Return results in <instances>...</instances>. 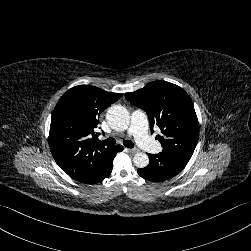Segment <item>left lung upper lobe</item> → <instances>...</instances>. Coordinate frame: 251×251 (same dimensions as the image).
I'll use <instances>...</instances> for the list:
<instances>
[{
    "mask_svg": "<svg viewBox=\"0 0 251 251\" xmlns=\"http://www.w3.org/2000/svg\"><path fill=\"white\" fill-rule=\"evenodd\" d=\"M133 105L149 117L151 133L154 125L161 130L156 136L165 154L190 160L199 135V123L190 96L181 87L157 80L142 89L125 94Z\"/></svg>",
    "mask_w": 251,
    "mask_h": 251,
    "instance_id": "obj_1",
    "label": "left lung upper lobe"
}]
</instances>
